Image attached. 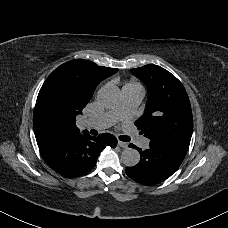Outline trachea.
Instances as JSON below:
<instances>
[{
    "label": "trachea",
    "mask_w": 228,
    "mask_h": 228,
    "mask_svg": "<svg viewBox=\"0 0 228 228\" xmlns=\"http://www.w3.org/2000/svg\"><path fill=\"white\" fill-rule=\"evenodd\" d=\"M119 139H120L121 141H124V142L130 141V138H129L128 136H126V135H120V136H119Z\"/></svg>",
    "instance_id": "1"
}]
</instances>
